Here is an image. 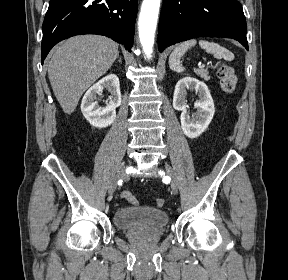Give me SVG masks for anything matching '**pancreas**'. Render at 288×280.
I'll use <instances>...</instances> for the list:
<instances>
[{
	"mask_svg": "<svg viewBox=\"0 0 288 280\" xmlns=\"http://www.w3.org/2000/svg\"><path fill=\"white\" fill-rule=\"evenodd\" d=\"M195 73L206 81L210 79V76L206 69H195Z\"/></svg>",
	"mask_w": 288,
	"mask_h": 280,
	"instance_id": "1",
	"label": "pancreas"
}]
</instances>
